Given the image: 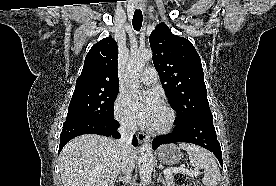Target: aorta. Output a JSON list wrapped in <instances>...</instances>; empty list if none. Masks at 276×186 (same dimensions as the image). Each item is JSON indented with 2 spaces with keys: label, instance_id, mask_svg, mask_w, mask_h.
I'll return each mask as SVG.
<instances>
[{
  "label": "aorta",
  "instance_id": "762f6f07",
  "mask_svg": "<svg viewBox=\"0 0 276 186\" xmlns=\"http://www.w3.org/2000/svg\"><path fill=\"white\" fill-rule=\"evenodd\" d=\"M152 59V51L150 49L133 52L127 64L128 71V87L136 91L139 88L138 74L141 72L145 64ZM138 167L141 182L147 185L151 179L153 171V152L150 143L145 142L140 148L138 159Z\"/></svg>",
  "mask_w": 276,
  "mask_h": 186
}]
</instances>
